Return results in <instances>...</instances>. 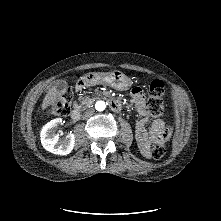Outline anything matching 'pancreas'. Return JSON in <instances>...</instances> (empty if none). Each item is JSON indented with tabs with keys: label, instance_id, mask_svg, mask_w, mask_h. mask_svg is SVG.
<instances>
[{
	"label": "pancreas",
	"instance_id": "pancreas-1",
	"mask_svg": "<svg viewBox=\"0 0 221 221\" xmlns=\"http://www.w3.org/2000/svg\"><path fill=\"white\" fill-rule=\"evenodd\" d=\"M82 99H83V101H81L82 108L88 107L93 103V99L89 97H83Z\"/></svg>",
	"mask_w": 221,
	"mask_h": 221
}]
</instances>
